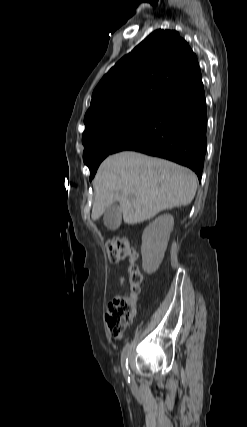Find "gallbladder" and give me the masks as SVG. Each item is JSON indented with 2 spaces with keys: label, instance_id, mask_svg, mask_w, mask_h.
Returning a JSON list of instances; mask_svg holds the SVG:
<instances>
[{
  "label": "gallbladder",
  "instance_id": "bac80fb5",
  "mask_svg": "<svg viewBox=\"0 0 247 427\" xmlns=\"http://www.w3.org/2000/svg\"><path fill=\"white\" fill-rule=\"evenodd\" d=\"M121 220L122 213L120 206L117 204V202H113L104 212V225L110 230H115L120 226Z\"/></svg>",
  "mask_w": 247,
  "mask_h": 427
}]
</instances>
